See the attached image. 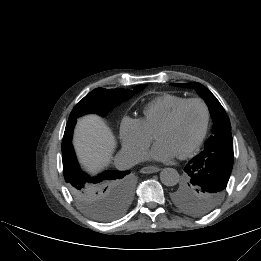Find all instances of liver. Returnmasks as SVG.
<instances>
[{
    "label": "liver",
    "mask_w": 261,
    "mask_h": 261,
    "mask_svg": "<svg viewBox=\"0 0 261 261\" xmlns=\"http://www.w3.org/2000/svg\"><path fill=\"white\" fill-rule=\"evenodd\" d=\"M73 144L81 164L93 173L108 165L116 146L112 131L94 114L79 119Z\"/></svg>",
    "instance_id": "1"
}]
</instances>
